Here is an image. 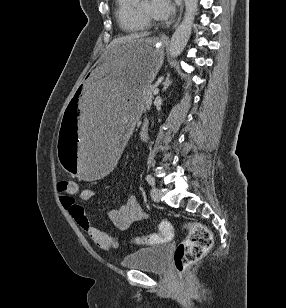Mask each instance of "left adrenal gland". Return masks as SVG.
Returning <instances> with one entry per match:
<instances>
[{
  "mask_svg": "<svg viewBox=\"0 0 286 308\" xmlns=\"http://www.w3.org/2000/svg\"><path fill=\"white\" fill-rule=\"evenodd\" d=\"M172 80H170L169 75L166 77L165 81L163 82V91H166V89L172 84Z\"/></svg>",
  "mask_w": 286,
  "mask_h": 308,
  "instance_id": "1",
  "label": "left adrenal gland"
}]
</instances>
